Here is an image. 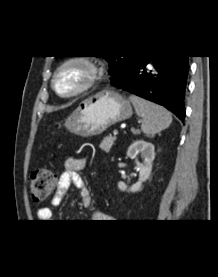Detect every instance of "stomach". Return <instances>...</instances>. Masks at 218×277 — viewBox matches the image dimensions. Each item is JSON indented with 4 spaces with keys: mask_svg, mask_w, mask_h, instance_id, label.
Here are the masks:
<instances>
[{
    "mask_svg": "<svg viewBox=\"0 0 218 277\" xmlns=\"http://www.w3.org/2000/svg\"><path fill=\"white\" fill-rule=\"evenodd\" d=\"M132 114V106L125 97L104 90L82 101L65 120L64 126L78 136L91 137L130 118Z\"/></svg>",
    "mask_w": 218,
    "mask_h": 277,
    "instance_id": "0dacf381",
    "label": "stomach"
}]
</instances>
